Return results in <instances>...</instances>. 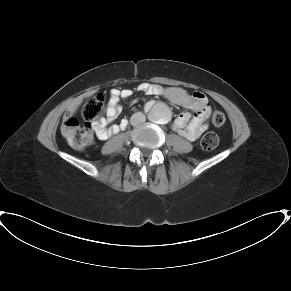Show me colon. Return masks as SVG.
I'll return each instance as SVG.
<instances>
[{"mask_svg": "<svg viewBox=\"0 0 291 291\" xmlns=\"http://www.w3.org/2000/svg\"><path fill=\"white\" fill-rule=\"evenodd\" d=\"M105 97L102 93L95 94L88 98L82 107V123L76 118H69L61 126V133L69 145L75 149H84L93 141L94 125L102 121L105 110ZM212 122L215 126H222L225 116L221 111H214ZM219 143L215 133L206 134L201 140L204 150H214Z\"/></svg>", "mask_w": 291, "mask_h": 291, "instance_id": "5ec220e1", "label": "colon"}]
</instances>
